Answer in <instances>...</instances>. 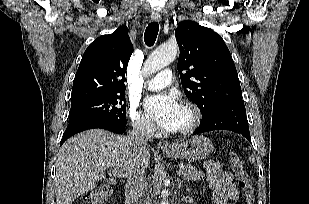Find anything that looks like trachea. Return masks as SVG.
<instances>
[{"label":"trachea","mask_w":309,"mask_h":204,"mask_svg":"<svg viewBox=\"0 0 309 204\" xmlns=\"http://www.w3.org/2000/svg\"><path fill=\"white\" fill-rule=\"evenodd\" d=\"M159 31V25L157 22H151L147 26L144 33V41L147 46H153Z\"/></svg>","instance_id":"obj_1"}]
</instances>
